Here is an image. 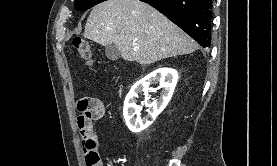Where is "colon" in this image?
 <instances>
[{
	"instance_id": "colon-1",
	"label": "colon",
	"mask_w": 277,
	"mask_h": 166,
	"mask_svg": "<svg viewBox=\"0 0 277 166\" xmlns=\"http://www.w3.org/2000/svg\"><path fill=\"white\" fill-rule=\"evenodd\" d=\"M75 48L80 53L81 57L86 61L88 65L92 64V51L87 41L76 38L73 42ZM82 135L91 138L93 136L92 126L88 121H85L80 128ZM92 166H110L109 163H105L99 154H94L89 159Z\"/></svg>"
}]
</instances>
